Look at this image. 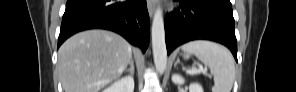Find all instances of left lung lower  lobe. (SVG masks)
I'll list each match as a JSON object with an SVG mask.
<instances>
[{
    "mask_svg": "<svg viewBox=\"0 0 296 92\" xmlns=\"http://www.w3.org/2000/svg\"><path fill=\"white\" fill-rule=\"evenodd\" d=\"M180 10L165 18V40L170 54L191 40L205 39L227 46L237 61L235 21L230 0H176Z\"/></svg>",
    "mask_w": 296,
    "mask_h": 92,
    "instance_id": "1",
    "label": "left lung lower lobe"
}]
</instances>
